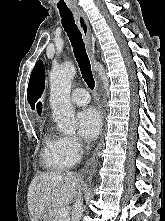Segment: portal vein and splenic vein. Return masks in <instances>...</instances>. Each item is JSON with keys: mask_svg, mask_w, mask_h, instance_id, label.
Instances as JSON below:
<instances>
[{"mask_svg": "<svg viewBox=\"0 0 165 221\" xmlns=\"http://www.w3.org/2000/svg\"><path fill=\"white\" fill-rule=\"evenodd\" d=\"M57 213L61 218H66L69 215L68 210L64 207L59 208Z\"/></svg>", "mask_w": 165, "mask_h": 221, "instance_id": "1", "label": "portal vein and splenic vein"}]
</instances>
